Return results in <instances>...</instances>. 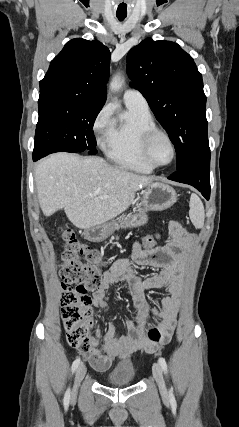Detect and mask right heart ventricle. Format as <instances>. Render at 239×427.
Returning <instances> with one entry per match:
<instances>
[{
  "label": "right heart ventricle",
  "mask_w": 239,
  "mask_h": 427,
  "mask_svg": "<svg viewBox=\"0 0 239 427\" xmlns=\"http://www.w3.org/2000/svg\"><path fill=\"white\" fill-rule=\"evenodd\" d=\"M126 111L113 120L112 130L104 146L106 156L122 168L150 173L154 168L141 155L143 134L156 128L149 110L126 105Z\"/></svg>",
  "instance_id": "obj_1"
}]
</instances>
